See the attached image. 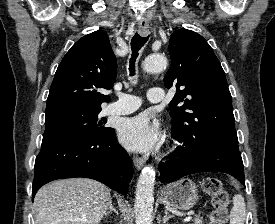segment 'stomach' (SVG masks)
<instances>
[{
	"mask_svg": "<svg viewBox=\"0 0 275 224\" xmlns=\"http://www.w3.org/2000/svg\"><path fill=\"white\" fill-rule=\"evenodd\" d=\"M161 200L168 207L189 210L198 200L197 186L191 179H180L163 189Z\"/></svg>",
	"mask_w": 275,
	"mask_h": 224,
	"instance_id": "1",
	"label": "stomach"
}]
</instances>
